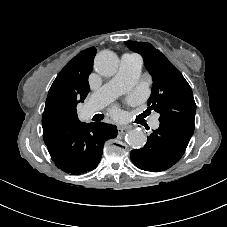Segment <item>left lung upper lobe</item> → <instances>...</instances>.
<instances>
[{
    "label": "left lung upper lobe",
    "mask_w": 227,
    "mask_h": 227,
    "mask_svg": "<svg viewBox=\"0 0 227 227\" xmlns=\"http://www.w3.org/2000/svg\"><path fill=\"white\" fill-rule=\"evenodd\" d=\"M139 53L153 78L149 109L160 114L159 121H167L194 130L196 104L190 85L180 71L150 43L126 41Z\"/></svg>",
    "instance_id": "obj_1"
}]
</instances>
